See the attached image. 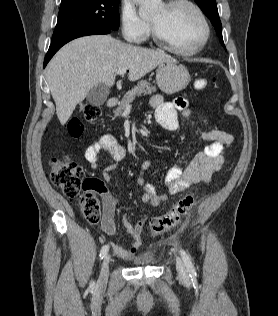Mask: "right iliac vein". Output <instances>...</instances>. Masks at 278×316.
Masks as SVG:
<instances>
[{"instance_id":"1","label":"right iliac vein","mask_w":278,"mask_h":316,"mask_svg":"<svg viewBox=\"0 0 278 316\" xmlns=\"http://www.w3.org/2000/svg\"><path fill=\"white\" fill-rule=\"evenodd\" d=\"M111 261V257L109 254H107L103 261H102V265H101V271H100V276H99V280L98 283L100 286H103L106 284L107 279H108V275H109V263Z\"/></svg>"}]
</instances>
